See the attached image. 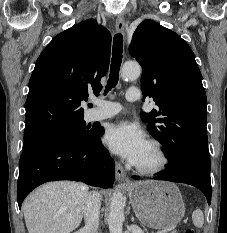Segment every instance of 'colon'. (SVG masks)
<instances>
[{
  "mask_svg": "<svg viewBox=\"0 0 227 233\" xmlns=\"http://www.w3.org/2000/svg\"><path fill=\"white\" fill-rule=\"evenodd\" d=\"M182 233H195V232L193 231V229L188 228V229L183 230Z\"/></svg>",
  "mask_w": 227,
  "mask_h": 233,
  "instance_id": "5ec220e1",
  "label": "colon"
}]
</instances>
